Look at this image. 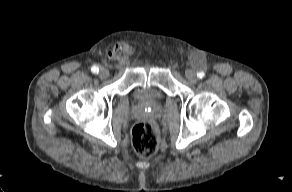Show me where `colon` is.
Returning a JSON list of instances; mask_svg holds the SVG:
<instances>
[{"instance_id": "colon-1", "label": "colon", "mask_w": 292, "mask_h": 192, "mask_svg": "<svg viewBox=\"0 0 292 192\" xmlns=\"http://www.w3.org/2000/svg\"><path fill=\"white\" fill-rule=\"evenodd\" d=\"M132 145L136 154L141 158H149L157 153L159 134L150 121H142L134 126Z\"/></svg>"}]
</instances>
